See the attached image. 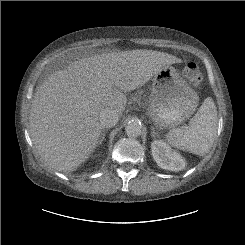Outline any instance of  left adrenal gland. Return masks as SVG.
Listing matches in <instances>:
<instances>
[{
	"label": "left adrenal gland",
	"instance_id": "1",
	"mask_svg": "<svg viewBox=\"0 0 245 245\" xmlns=\"http://www.w3.org/2000/svg\"><path fill=\"white\" fill-rule=\"evenodd\" d=\"M151 129H152L151 136L155 138L157 135V132L155 131V128L153 126L151 127Z\"/></svg>",
	"mask_w": 245,
	"mask_h": 245
}]
</instances>
